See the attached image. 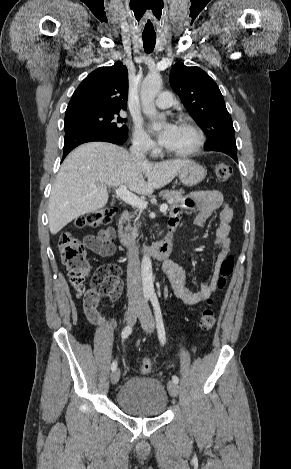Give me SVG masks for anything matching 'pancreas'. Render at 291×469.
Returning a JSON list of instances; mask_svg holds the SVG:
<instances>
[{
    "label": "pancreas",
    "instance_id": "1",
    "mask_svg": "<svg viewBox=\"0 0 291 469\" xmlns=\"http://www.w3.org/2000/svg\"><path fill=\"white\" fill-rule=\"evenodd\" d=\"M184 193V191L182 190H164V191H161L160 192V196L167 200L168 203L170 204L171 207H175V206H178L179 202L182 200L183 196L182 194ZM141 213H139V216H140ZM138 216V217H139ZM138 228H139V224H135L134 227L132 228V234L133 236H137L138 234Z\"/></svg>",
    "mask_w": 291,
    "mask_h": 469
}]
</instances>
